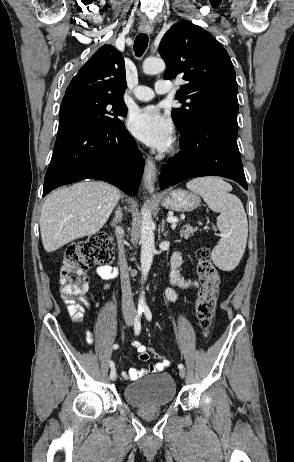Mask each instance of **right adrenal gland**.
Listing matches in <instances>:
<instances>
[{
	"label": "right adrenal gland",
	"mask_w": 294,
	"mask_h": 462,
	"mask_svg": "<svg viewBox=\"0 0 294 462\" xmlns=\"http://www.w3.org/2000/svg\"><path fill=\"white\" fill-rule=\"evenodd\" d=\"M122 209L117 206V209L115 211V217L113 218L112 222H111V225L112 226H116L119 222H121L122 220Z\"/></svg>",
	"instance_id": "2a0ac1e0"
}]
</instances>
